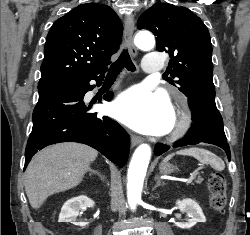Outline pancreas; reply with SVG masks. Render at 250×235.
<instances>
[{"instance_id": "pancreas-1", "label": "pancreas", "mask_w": 250, "mask_h": 235, "mask_svg": "<svg viewBox=\"0 0 250 235\" xmlns=\"http://www.w3.org/2000/svg\"><path fill=\"white\" fill-rule=\"evenodd\" d=\"M202 182V178H198L197 180H196V183H201Z\"/></svg>"}]
</instances>
